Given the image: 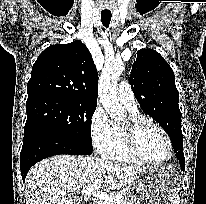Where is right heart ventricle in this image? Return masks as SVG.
Returning a JSON list of instances; mask_svg holds the SVG:
<instances>
[{"instance_id": "1", "label": "right heart ventricle", "mask_w": 206, "mask_h": 204, "mask_svg": "<svg viewBox=\"0 0 206 204\" xmlns=\"http://www.w3.org/2000/svg\"><path fill=\"white\" fill-rule=\"evenodd\" d=\"M128 110L130 112V115H139L137 109L128 108ZM101 154L104 158L113 161L134 164L144 163L142 160L133 155L129 150L125 142L121 125L118 123H112V134L110 141L108 142L106 147L101 151Z\"/></svg>"}]
</instances>
